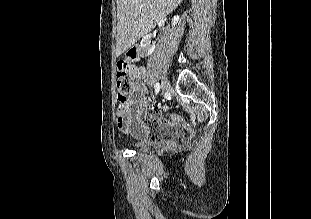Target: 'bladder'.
<instances>
[{
	"mask_svg": "<svg viewBox=\"0 0 311 219\" xmlns=\"http://www.w3.org/2000/svg\"><path fill=\"white\" fill-rule=\"evenodd\" d=\"M152 147V144L150 142H145V143H135L134 148L136 150H141V151H147Z\"/></svg>",
	"mask_w": 311,
	"mask_h": 219,
	"instance_id": "1",
	"label": "bladder"
}]
</instances>
